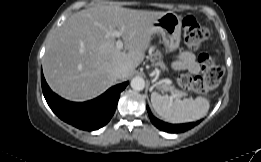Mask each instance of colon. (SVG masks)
Masks as SVG:
<instances>
[{
    "label": "colon",
    "mask_w": 261,
    "mask_h": 162,
    "mask_svg": "<svg viewBox=\"0 0 261 162\" xmlns=\"http://www.w3.org/2000/svg\"><path fill=\"white\" fill-rule=\"evenodd\" d=\"M182 28L186 45L195 51L210 36L209 30L192 16H186L182 20ZM198 59L202 65L201 75L182 74L177 83L185 91L205 95L219 85L224 75V69L217 64L216 58L208 53H200Z\"/></svg>",
    "instance_id": "5ec220e1"
}]
</instances>
